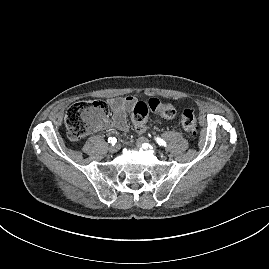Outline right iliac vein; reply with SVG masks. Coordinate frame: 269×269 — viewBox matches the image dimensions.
<instances>
[{
  "mask_svg": "<svg viewBox=\"0 0 269 269\" xmlns=\"http://www.w3.org/2000/svg\"><path fill=\"white\" fill-rule=\"evenodd\" d=\"M117 151H118V146L117 145L109 146V152L110 153H116Z\"/></svg>",
  "mask_w": 269,
  "mask_h": 269,
  "instance_id": "63e3f726",
  "label": "right iliac vein"
}]
</instances>
